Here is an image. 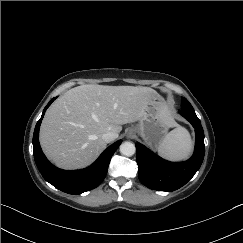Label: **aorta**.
Returning a JSON list of instances; mask_svg holds the SVG:
<instances>
[{"label":"aorta","mask_w":243,"mask_h":243,"mask_svg":"<svg viewBox=\"0 0 243 243\" xmlns=\"http://www.w3.org/2000/svg\"><path fill=\"white\" fill-rule=\"evenodd\" d=\"M136 148L132 142L126 141L120 145V152L125 156H132L135 154Z\"/></svg>","instance_id":"1"}]
</instances>
